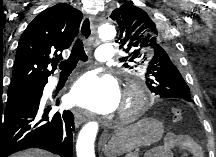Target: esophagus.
Wrapping results in <instances>:
<instances>
[{"instance_id":"obj_1","label":"esophagus","mask_w":216,"mask_h":157,"mask_svg":"<svg viewBox=\"0 0 216 157\" xmlns=\"http://www.w3.org/2000/svg\"><path fill=\"white\" fill-rule=\"evenodd\" d=\"M80 34L85 39L88 40L92 35L95 34L94 17L91 15H86L80 26ZM86 116L83 115L81 111L75 112V126L79 127L82 123L86 121Z\"/></svg>"}]
</instances>
